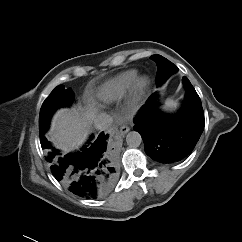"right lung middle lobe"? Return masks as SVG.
<instances>
[{"instance_id":"right-lung-middle-lobe-1","label":"right lung middle lobe","mask_w":242,"mask_h":242,"mask_svg":"<svg viewBox=\"0 0 242 242\" xmlns=\"http://www.w3.org/2000/svg\"><path fill=\"white\" fill-rule=\"evenodd\" d=\"M74 100L71 89H64L63 85L57 86L42 104L39 115L40 137L44 135L49 127L53 112L59 107L69 106Z\"/></svg>"}]
</instances>
